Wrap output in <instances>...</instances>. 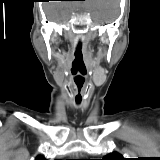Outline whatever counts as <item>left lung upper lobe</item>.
<instances>
[{
	"label": "left lung upper lobe",
	"instance_id": "5c2ea615",
	"mask_svg": "<svg viewBox=\"0 0 160 160\" xmlns=\"http://www.w3.org/2000/svg\"><path fill=\"white\" fill-rule=\"evenodd\" d=\"M102 160H125V158H123L121 154L115 152L108 154L107 156L102 158Z\"/></svg>",
	"mask_w": 160,
	"mask_h": 160
}]
</instances>
